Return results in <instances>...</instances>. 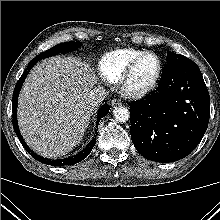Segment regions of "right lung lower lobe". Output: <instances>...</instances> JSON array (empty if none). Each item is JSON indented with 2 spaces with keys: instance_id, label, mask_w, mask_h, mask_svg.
Masks as SVG:
<instances>
[{
  "instance_id": "obj_1",
  "label": "right lung lower lobe",
  "mask_w": 220,
  "mask_h": 220,
  "mask_svg": "<svg viewBox=\"0 0 220 220\" xmlns=\"http://www.w3.org/2000/svg\"><path fill=\"white\" fill-rule=\"evenodd\" d=\"M36 60H31L28 64L27 69L23 72L22 76L20 77V79L18 80L15 89H14V93H13V105H12V109H13V127L15 130V133L17 134L20 142L22 143V145L24 146V148L26 149V151L32 156L34 157L36 160L44 163V164H48V165H53V166H64V165H72V164H76L80 161H82L84 158H86L89 153L91 152V150L93 149L95 143H96V135L95 138H93L90 143L88 144V146L82 150L81 152H79L78 154H76L73 157H69L66 159H59V160H50L47 158H43L39 155H37L36 153H34L29 147L28 145L25 143V141L23 140L20 130L18 128V123H17V102H18V95L19 92L21 90V87L23 85V82L26 78V76L28 75L29 71L31 70V68L36 64ZM110 107L108 105H103L99 110H98V117H97V125L99 124V120L106 116L109 112Z\"/></svg>"
}]
</instances>
